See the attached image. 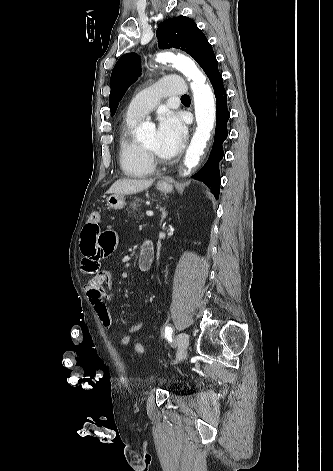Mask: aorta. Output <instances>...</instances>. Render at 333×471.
Returning <instances> with one entry per match:
<instances>
[{
    "label": "aorta",
    "mask_w": 333,
    "mask_h": 471,
    "mask_svg": "<svg viewBox=\"0 0 333 471\" xmlns=\"http://www.w3.org/2000/svg\"><path fill=\"white\" fill-rule=\"evenodd\" d=\"M156 61L162 64L171 63L191 80L197 128L184 157V166L187 170H184L183 175H187L198 164L210 138L216 117L214 95L206 83V77L190 58L162 52L157 55ZM151 128H153L151 123H143L138 129V136L144 137Z\"/></svg>",
    "instance_id": "762f6f07"
}]
</instances>
